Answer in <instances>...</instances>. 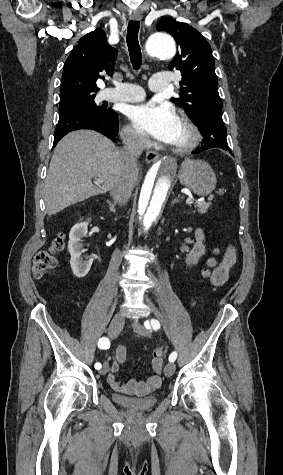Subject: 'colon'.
<instances>
[{
  "label": "colon",
  "instance_id": "obj_1",
  "mask_svg": "<svg viewBox=\"0 0 283 475\" xmlns=\"http://www.w3.org/2000/svg\"><path fill=\"white\" fill-rule=\"evenodd\" d=\"M63 246L62 238H57L53 242L50 248L40 249L36 252L34 256V267H35V275L38 277H42L48 274L54 267L55 258L54 253L61 250ZM217 261L215 258L211 257L208 258L206 261V269L204 270V274L209 276L212 273V269L215 267ZM164 351L160 348H156L153 350L152 357H151V364L153 366H160L164 362Z\"/></svg>",
  "mask_w": 283,
  "mask_h": 475
}]
</instances>
